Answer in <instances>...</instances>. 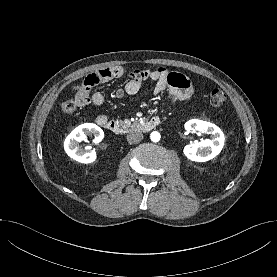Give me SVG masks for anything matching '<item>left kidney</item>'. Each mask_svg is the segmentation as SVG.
Masks as SVG:
<instances>
[{
    "mask_svg": "<svg viewBox=\"0 0 277 277\" xmlns=\"http://www.w3.org/2000/svg\"><path fill=\"white\" fill-rule=\"evenodd\" d=\"M185 129L187 131L210 134L211 138L202 140L199 143L186 145L183 152L188 159L195 162H206L221 152L225 137L221 129L215 124L194 119L186 122Z\"/></svg>",
    "mask_w": 277,
    "mask_h": 277,
    "instance_id": "left-kidney-1",
    "label": "left kidney"
}]
</instances>
